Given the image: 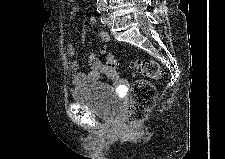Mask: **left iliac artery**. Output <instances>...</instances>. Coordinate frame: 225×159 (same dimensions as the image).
<instances>
[{
    "label": "left iliac artery",
    "instance_id": "44dca946",
    "mask_svg": "<svg viewBox=\"0 0 225 159\" xmlns=\"http://www.w3.org/2000/svg\"><path fill=\"white\" fill-rule=\"evenodd\" d=\"M106 11H108V9H105L101 12V22H102V24H106L107 20H108V15H107Z\"/></svg>",
    "mask_w": 225,
    "mask_h": 159
}]
</instances>
